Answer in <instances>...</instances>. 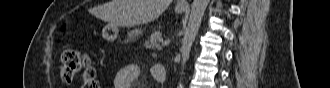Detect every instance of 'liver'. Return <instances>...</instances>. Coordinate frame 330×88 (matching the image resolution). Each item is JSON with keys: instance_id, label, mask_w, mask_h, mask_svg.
Listing matches in <instances>:
<instances>
[{"instance_id": "obj_1", "label": "liver", "mask_w": 330, "mask_h": 88, "mask_svg": "<svg viewBox=\"0 0 330 88\" xmlns=\"http://www.w3.org/2000/svg\"><path fill=\"white\" fill-rule=\"evenodd\" d=\"M172 0H111L101 7L99 16L111 25L135 26L157 19Z\"/></svg>"}]
</instances>
